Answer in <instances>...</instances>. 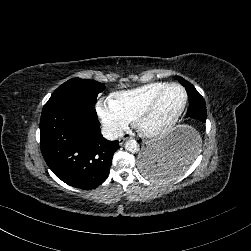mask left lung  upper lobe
Returning a JSON list of instances; mask_svg holds the SVG:
<instances>
[{
    "mask_svg": "<svg viewBox=\"0 0 251 251\" xmlns=\"http://www.w3.org/2000/svg\"><path fill=\"white\" fill-rule=\"evenodd\" d=\"M175 78L186 88V91L196 95L197 98L203 99L202 96L197 92L195 87L185 79L180 76H175Z\"/></svg>",
    "mask_w": 251,
    "mask_h": 251,
    "instance_id": "1",
    "label": "left lung upper lobe"
}]
</instances>
